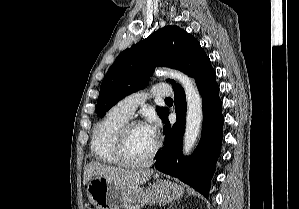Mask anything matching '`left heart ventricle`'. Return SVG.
<instances>
[{"instance_id": "1", "label": "left heart ventricle", "mask_w": 299, "mask_h": 209, "mask_svg": "<svg viewBox=\"0 0 299 209\" xmlns=\"http://www.w3.org/2000/svg\"><path fill=\"white\" fill-rule=\"evenodd\" d=\"M155 142L149 137L143 126L132 128L128 134L127 157L134 162L143 161L151 153Z\"/></svg>"}]
</instances>
